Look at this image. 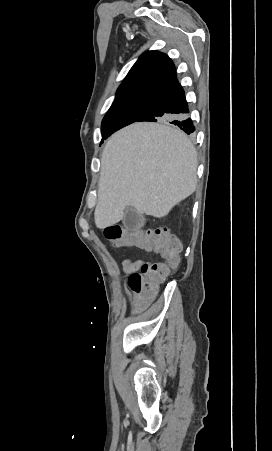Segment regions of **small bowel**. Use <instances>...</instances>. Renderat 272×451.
Returning a JSON list of instances; mask_svg holds the SVG:
<instances>
[{
	"label": "small bowel",
	"instance_id": "small-bowel-1",
	"mask_svg": "<svg viewBox=\"0 0 272 451\" xmlns=\"http://www.w3.org/2000/svg\"><path fill=\"white\" fill-rule=\"evenodd\" d=\"M135 265H136V263H135ZM123 271L127 274V271H128V270H123ZM125 285H126V283H125ZM126 295H127L128 299H129L130 301H134V303H135V305H136V308H137L138 310H141V309L139 308V301H140V300H132V295H129V294H128V289H126Z\"/></svg>",
	"mask_w": 272,
	"mask_h": 451
}]
</instances>
